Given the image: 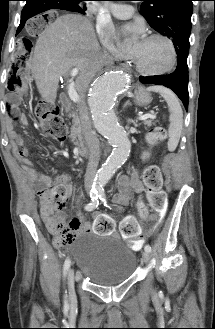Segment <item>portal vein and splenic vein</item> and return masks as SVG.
<instances>
[{"instance_id": "1", "label": "portal vein and splenic vein", "mask_w": 215, "mask_h": 329, "mask_svg": "<svg viewBox=\"0 0 215 329\" xmlns=\"http://www.w3.org/2000/svg\"><path fill=\"white\" fill-rule=\"evenodd\" d=\"M78 72H79L78 68H73L70 71V76L75 77L78 74ZM68 95L73 102L78 103L80 101V97L75 90V83L73 81H71L68 85ZM155 118L156 116L154 114H145V115H141L139 117V120L155 119Z\"/></svg>"}]
</instances>
